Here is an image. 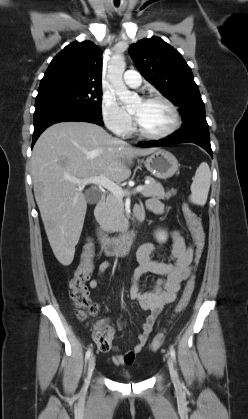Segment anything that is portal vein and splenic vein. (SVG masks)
I'll return each mask as SVG.
<instances>
[{
  "label": "portal vein and splenic vein",
  "instance_id": "18ae733b",
  "mask_svg": "<svg viewBox=\"0 0 248 419\" xmlns=\"http://www.w3.org/2000/svg\"><path fill=\"white\" fill-rule=\"evenodd\" d=\"M72 181L80 186H84L86 184L100 185L106 188L107 190H109L113 195L119 198H122L127 193V191L123 190L120 186H118L117 184H115L113 181L106 178L102 174L96 177H88L84 179H73ZM142 190H143V186L139 185L135 188L134 193L141 192Z\"/></svg>",
  "mask_w": 248,
  "mask_h": 419
}]
</instances>
